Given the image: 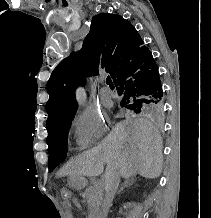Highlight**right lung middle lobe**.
I'll return each instance as SVG.
<instances>
[{
  "mask_svg": "<svg viewBox=\"0 0 211 218\" xmlns=\"http://www.w3.org/2000/svg\"><path fill=\"white\" fill-rule=\"evenodd\" d=\"M121 107H124L131 112L140 113L141 111L149 112H161L164 108V101L162 100H146L143 98H122L120 102ZM75 111L62 117L57 123L52 127L51 131L48 133L46 139L49 150V171L52 172L55 167H57L66 156L67 151V138L68 131L71 125V121L74 118Z\"/></svg>",
  "mask_w": 211,
  "mask_h": 218,
  "instance_id": "obj_1",
  "label": "right lung middle lobe"
}]
</instances>
